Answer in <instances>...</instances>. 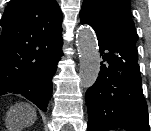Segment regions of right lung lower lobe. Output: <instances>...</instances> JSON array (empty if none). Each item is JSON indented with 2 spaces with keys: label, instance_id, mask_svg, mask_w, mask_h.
I'll use <instances>...</instances> for the list:
<instances>
[{
  "label": "right lung lower lobe",
  "instance_id": "obj_1",
  "mask_svg": "<svg viewBox=\"0 0 151 131\" xmlns=\"http://www.w3.org/2000/svg\"><path fill=\"white\" fill-rule=\"evenodd\" d=\"M61 49L62 40L50 48L47 53L46 64L41 70L0 92V96L7 93L19 94L32 101L41 110L46 111L52 96V77L63 55Z\"/></svg>",
  "mask_w": 151,
  "mask_h": 131
}]
</instances>
